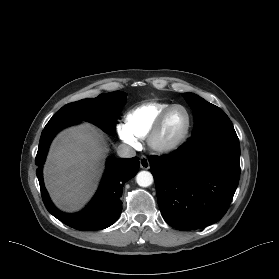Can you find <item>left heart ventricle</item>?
I'll return each instance as SVG.
<instances>
[{"label":"left heart ventricle","mask_w":279,"mask_h":279,"mask_svg":"<svg viewBox=\"0 0 279 279\" xmlns=\"http://www.w3.org/2000/svg\"><path fill=\"white\" fill-rule=\"evenodd\" d=\"M186 123V114L182 109L171 111L163 124L158 140L161 143H169L176 140L184 131Z\"/></svg>","instance_id":"left-heart-ventricle-1"}]
</instances>
